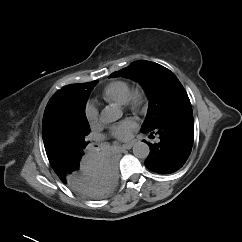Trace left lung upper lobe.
<instances>
[{"label": "left lung upper lobe", "instance_id": "left-lung-upper-lobe-1", "mask_svg": "<svg viewBox=\"0 0 242 242\" xmlns=\"http://www.w3.org/2000/svg\"><path fill=\"white\" fill-rule=\"evenodd\" d=\"M123 76L138 81L149 97L148 114L141 129L153 128L173 110L190 104L189 97L177 77L160 64L140 60L116 71L110 77Z\"/></svg>", "mask_w": 242, "mask_h": 242}]
</instances>
